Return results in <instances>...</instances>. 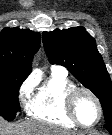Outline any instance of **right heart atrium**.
Masks as SVG:
<instances>
[{"mask_svg": "<svg viewBox=\"0 0 112 135\" xmlns=\"http://www.w3.org/2000/svg\"><path fill=\"white\" fill-rule=\"evenodd\" d=\"M34 80L32 78H27L23 83L20 85L18 89V97L20 99L21 104L26 108L29 102V98L34 89Z\"/></svg>", "mask_w": 112, "mask_h": 135, "instance_id": "obj_1", "label": "right heart atrium"}]
</instances>
